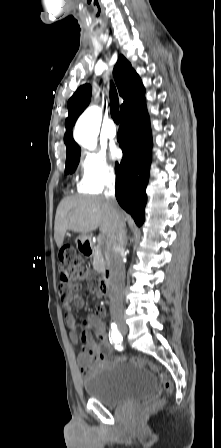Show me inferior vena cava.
Returning <instances> with one entry per match:
<instances>
[{"label":"inferior vena cava","instance_id":"1","mask_svg":"<svg viewBox=\"0 0 221 448\" xmlns=\"http://www.w3.org/2000/svg\"><path fill=\"white\" fill-rule=\"evenodd\" d=\"M104 195L106 200L109 202L113 213L116 216L115 229L109 242V257L112 275L111 310L114 315H117L121 314L123 309L121 292L125 281V267L123 263V256L126 245V225L125 220L120 214V209L115 198L114 178H110L107 181Z\"/></svg>","mask_w":221,"mask_h":448}]
</instances>
